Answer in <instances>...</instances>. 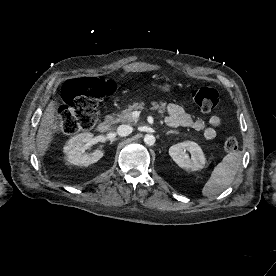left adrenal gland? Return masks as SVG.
I'll use <instances>...</instances> for the list:
<instances>
[{
	"label": "left adrenal gland",
	"instance_id": "a2214340",
	"mask_svg": "<svg viewBox=\"0 0 276 276\" xmlns=\"http://www.w3.org/2000/svg\"><path fill=\"white\" fill-rule=\"evenodd\" d=\"M168 134H177V132H176V131L170 130V131H167V132H166V135H168Z\"/></svg>",
	"mask_w": 276,
	"mask_h": 276
}]
</instances>
